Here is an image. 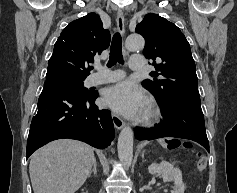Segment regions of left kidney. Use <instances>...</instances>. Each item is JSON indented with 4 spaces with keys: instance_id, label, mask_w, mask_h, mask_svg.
<instances>
[{
    "instance_id": "left-kidney-1",
    "label": "left kidney",
    "mask_w": 237,
    "mask_h": 193,
    "mask_svg": "<svg viewBox=\"0 0 237 193\" xmlns=\"http://www.w3.org/2000/svg\"><path fill=\"white\" fill-rule=\"evenodd\" d=\"M148 171L150 174H161L164 181L174 182L171 193H184L185 185L182 180V172L178 168H174L170 162L152 163L148 167Z\"/></svg>"
}]
</instances>
